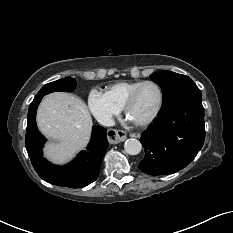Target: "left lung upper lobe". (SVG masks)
I'll use <instances>...</instances> for the list:
<instances>
[{"instance_id":"5c2ea615","label":"left lung upper lobe","mask_w":233,"mask_h":233,"mask_svg":"<svg viewBox=\"0 0 233 233\" xmlns=\"http://www.w3.org/2000/svg\"><path fill=\"white\" fill-rule=\"evenodd\" d=\"M150 78L162 89V108L185 97L202 96L199 88L188 76L165 70L152 74Z\"/></svg>"}]
</instances>
